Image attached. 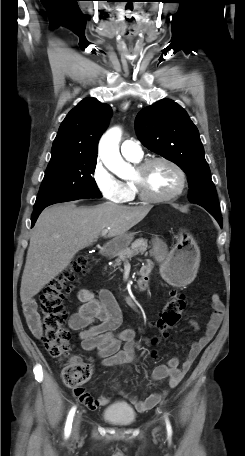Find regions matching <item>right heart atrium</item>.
Listing matches in <instances>:
<instances>
[{"label": "right heart atrium", "mask_w": 245, "mask_h": 456, "mask_svg": "<svg viewBox=\"0 0 245 456\" xmlns=\"http://www.w3.org/2000/svg\"><path fill=\"white\" fill-rule=\"evenodd\" d=\"M91 177L104 199L114 203L125 202L126 190L123 182L117 179L100 159L96 160L92 168Z\"/></svg>", "instance_id": "right-heart-atrium-1"}]
</instances>
